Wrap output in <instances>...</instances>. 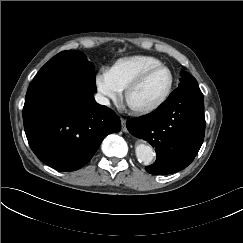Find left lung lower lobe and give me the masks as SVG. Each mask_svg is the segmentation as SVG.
Masks as SVG:
<instances>
[{
	"label": "left lung lower lobe",
	"mask_w": 243,
	"mask_h": 243,
	"mask_svg": "<svg viewBox=\"0 0 243 243\" xmlns=\"http://www.w3.org/2000/svg\"><path fill=\"white\" fill-rule=\"evenodd\" d=\"M135 137L156 148L145 169L153 175L178 172L195 158L204 139V100L198 84L179 86L154 112L127 122Z\"/></svg>",
	"instance_id": "left-lung-lower-lobe-1"
}]
</instances>
